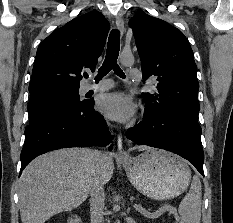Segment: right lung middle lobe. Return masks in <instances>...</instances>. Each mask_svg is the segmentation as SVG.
Returning a JSON list of instances; mask_svg holds the SVG:
<instances>
[{
    "instance_id": "dd1d6c3e",
    "label": "right lung middle lobe",
    "mask_w": 233,
    "mask_h": 223,
    "mask_svg": "<svg viewBox=\"0 0 233 223\" xmlns=\"http://www.w3.org/2000/svg\"><path fill=\"white\" fill-rule=\"evenodd\" d=\"M79 88H52L31 94L28 104L29 124L52 115L61 114L83 106Z\"/></svg>"
}]
</instances>
